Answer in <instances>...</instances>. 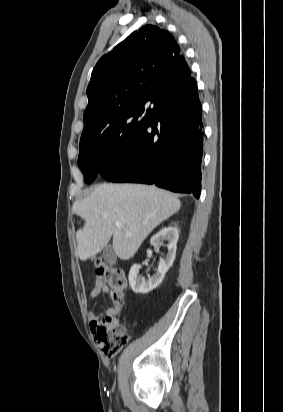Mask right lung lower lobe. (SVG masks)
Segmentation results:
<instances>
[{"mask_svg":"<svg viewBox=\"0 0 283 412\" xmlns=\"http://www.w3.org/2000/svg\"><path fill=\"white\" fill-rule=\"evenodd\" d=\"M203 134L197 84L188 77L159 102L134 145L100 174L112 182L154 183L198 198Z\"/></svg>","mask_w":283,"mask_h":412,"instance_id":"right-lung-lower-lobe-1","label":"right lung lower lobe"}]
</instances>
